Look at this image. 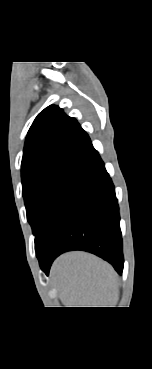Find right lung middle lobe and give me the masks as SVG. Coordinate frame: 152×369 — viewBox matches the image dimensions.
<instances>
[{
	"instance_id": "1",
	"label": "right lung middle lobe",
	"mask_w": 152,
	"mask_h": 369,
	"mask_svg": "<svg viewBox=\"0 0 152 369\" xmlns=\"http://www.w3.org/2000/svg\"><path fill=\"white\" fill-rule=\"evenodd\" d=\"M79 164L64 162L29 171L22 176L27 219L35 236V248L44 235L55 204Z\"/></svg>"
}]
</instances>
